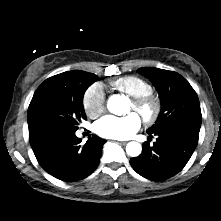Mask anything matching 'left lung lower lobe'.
<instances>
[{"mask_svg": "<svg viewBox=\"0 0 221 221\" xmlns=\"http://www.w3.org/2000/svg\"><path fill=\"white\" fill-rule=\"evenodd\" d=\"M200 127L176 122L150 132L157 136L153 146L144 142L142 153L130 159L131 166L141 176L153 180H166L181 171L192 156Z\"/></svg>", "mask_w": 221, "mask_h": 221, "instance_id": "1", "label": "left lung lower lobe"}]
</instances>
